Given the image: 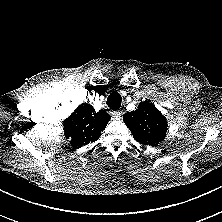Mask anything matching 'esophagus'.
<instances>
[{
  "instance_id": "1",
  "label": "esophagus",
  "mask_w": 222,
  "mask_h": 222,
  "mask_svg": "<svg viewBox=\"0 0 222 222\" xmlns=\"http://www.w3.org/2000/svg\"><path fill=\"white\" fill-rule=\"evenodd\" d=\"M111 115H112L113 119L119 120L122 116V112L119 110L112 111Z\"/></svg>"
}]
</instances>
